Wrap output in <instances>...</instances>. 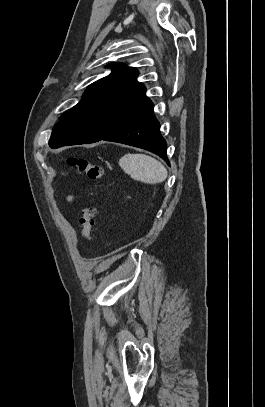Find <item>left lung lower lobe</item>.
I'll return each instance as SVG.
<instances>
[{
    "mask_svg": "<svg viewBox=\"0 0 265 407\" xmlns=\"http://www.w3.org/2000/svg\"><path fill=\"white\" fill-rule=\"evenodd\" d=\"M159 129L160 125L153 115L152 108L141 117L126 124L102 140L146 149L160 156L169 165L166 155V141L161 136Z\"/></svg>",
    "mask_w": 265,
    "mask_h": 407,
    "instance_id": "1",
    "label": "left lung lower lobe"
}]
</instances>
